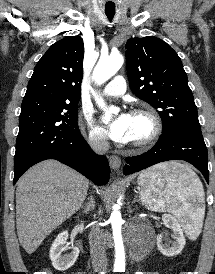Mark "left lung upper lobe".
<instances>
[{"mask_svg": "<svg viewBox=\"0 0 215 274\" xmlns=\"http://www.w3.org/2000/svg\"><path fill=\"white\" fill-rule=\"evenodd\" d=\"M125 48L130 88L158 110L163 133L173 130L201 133L197 107L177 53L154 36L130 38Z\"/></svg>", "mask_w": 215, "mask_h": 274, "instance_id": "1", "label": "left lung upper lobe"}]
</instances>
